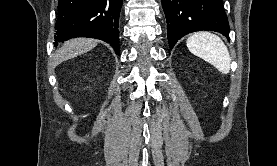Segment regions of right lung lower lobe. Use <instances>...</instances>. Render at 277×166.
Listing matches in <instances>:
<instances>
[{"label": "right lung lower lobe", "mask_w": 277, "mask_h": 166, "mask_svg": "<svg viewBox=\"0 0 277 166\" xmlns=\"http://www.w3.org/2000/svg\"><path fill=\"white\" fill-rule=\"evenodd\" d=\"M122 0H59L55 45L74 37L103 40L119 55Z\"/></svg>", "instance_id": "obj_1"}]
</instances>
